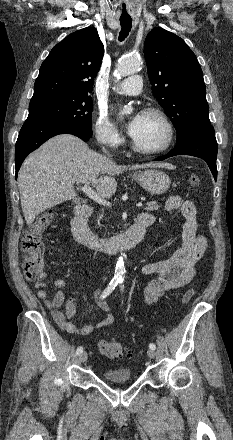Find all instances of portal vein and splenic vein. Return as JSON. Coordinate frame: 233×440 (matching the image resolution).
I'll return each instance as SVG.
<instances>
[{
    "label": "portal vein and splenic vein",
    "mask_w": 233,
    "mask_h": 440,
    "mask_svg": "<svg viewBox=\"0 0 233 440\" xmlns=\"http://www.w3.org/2000/svg\"><path fill=\"white\" fill-rule=\"evenodd\" d=\"M90 183L87 182L84 184V186L81 188V190L90 197L93 201L97 202L100 205L103 206H110L111 203L106 201L103 197H101L98 193H96L89 185ZM137 207H142L143 204L141 202L136 204Z\"/></svg>",
    "instance_id": "obj_1"
}]
</instances>
